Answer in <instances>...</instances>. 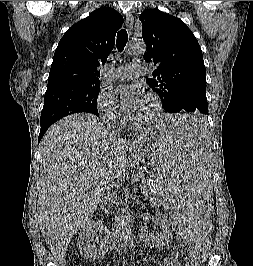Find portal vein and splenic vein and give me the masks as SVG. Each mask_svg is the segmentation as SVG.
Returning a JSON list of instances; mask_svg holds the SVG:
<instances>
[{
	"label": "portal vein and splenic vein",
	"instance_id": "1",
	"mask_svg": "<svg viewBox=\"0 0 253 266\" xmlns=\"http://www.w3.org/2000/svg\"><path fill=\"white\" fill-rule=\"evenodd\" d=\"M139 174H141V173L139 172ZM145 191H146V193H149V194H151V192H149V190H147V189H146Z\"/></svg>",
	"mask_w": 253,
	"mask_h": 266
}]
</instances>
